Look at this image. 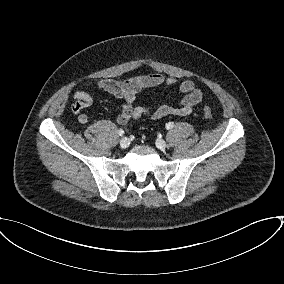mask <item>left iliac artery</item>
Returning a JSON list of instances; mask_svg holds the SVG:
<instances>
[{"label": "left iliac artery", "mask_w": 284, "mask_h": 284, "mask_svg": "<svg viewBox=\"0 0 284 284\" xmlns=\"http://www.w3.org/2000/svg\"><path fill=\"white\" fill-rule=\"evenodd\" d=\"M174 126L173 122H168L166 124V129H171Z\"/></svg>", "instance_id": "1"}]
</instances>
